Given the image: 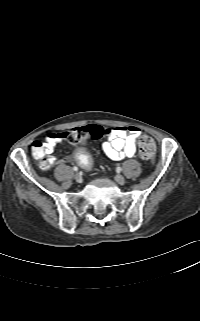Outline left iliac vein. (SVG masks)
<instances>
[{"label": "left iliac vein", "instance_id": "left-iliac-vein-1", "mask_svg": "<svg viewBox=\"0 0 200 321\" xmlns=\"http://www.w3.org/2000/svg\"><path fill=\"white\" fill-rule=\"evenodd\" d=\"M115 181H116L117 183L123 185L126 180H125V178H124L122 175L117 174V175L115 176Z\"/></svg>", "mask_w": 200, "mask_h": 321}]
</instances>
